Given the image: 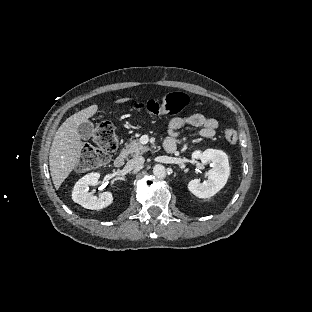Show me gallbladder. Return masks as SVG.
I'll return each mask as SVG.
<instances>
[{
	"label": "gallbladder",
	"instance_id": "gallbladder-1",
	"mask_svg": "<svg viewBox=\"0 0 312 312\" xmlns=\"http://www.w3.org/2000/svg\"><path fill=\"white\" fill-rule=\"evenodd\" d=\"M94 130V124L90 121L84 122L78 126V133L84 140L91 138Z\"/></svg>",
	"mask_w": 312,
	"mask_h": 312
}]
</instances>
